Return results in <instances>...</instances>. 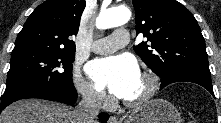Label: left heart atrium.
<instances>
[{"mask_svg": "<svg viewBox=\"0 0 221 123\" xmlns=\"http://www.w3.org/2000/svg\"><path fill=\"white\" fill-rule=\"evenodd\" d=\"M87 73L99 89L123 98L139 76L135 60L129 56H109L91 61Z\"/></svg>", "mask_w": 221, "mask_h": 123, "instance_id": "left-heart-atrium-1", "label": "left heart atrium"}]
</instances>
